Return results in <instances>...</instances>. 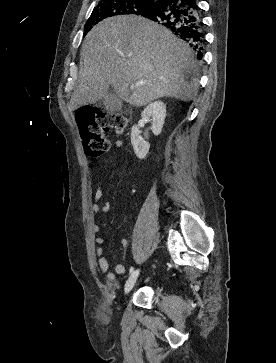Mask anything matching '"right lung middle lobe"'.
I'll list each match as a JSON object with an SVG mask.
<instances>
[{
	"mask_svg": "<svg viewBox=\"0 0 276 363\" xmlns=\"http://www.w3.org/2000/svg\"><path fill=\"white\" fill-rule=\"evenodd\" d=\"M155 3L152 0H101L84 27V36L102 20L119 15H141Z\"/></svg>",
	"mask_w": 276,
	"mask_h": 363,
	"instance_id": "right-lung-middle-lobe-1",
	"label": "right lung middle lobe"
}]
</instances>
